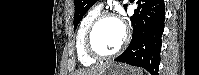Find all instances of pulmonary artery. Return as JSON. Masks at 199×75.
Here are the masks:
<instances>
[{
    "label": "pulmonary artery",
    "mask_w": 199,
    "mask_h": 75,
    "mask_svg": "<svg viewBox=\"0 0 199 75\" xmlns=\"http://www.w3.org/2000/svg\"><path fill=\"white\" fill-rule=\"evenodd\" d=\"M96 7L100 8V7H101V4L97 5Z\"/></svg>",
    "instance_id": "1"
}]
</instances>
